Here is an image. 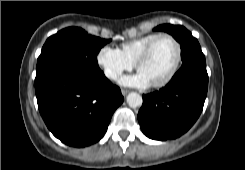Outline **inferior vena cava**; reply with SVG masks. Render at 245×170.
<instances>
[{
  "mask_svg": "<svg viewBox=\"0 0 245 170\" xmlns=\"http://www.w3.org/2000/svg\"><path fill=\"white\" fill-rule=\"evenodd\" d=\"M105 74H106L107 77H110V78H113V79L117 78L118 75H119L118 72L113 71V70H107V71L105 72Z\"/></svg>",
  "mask_w": 245,
  "mask_h": 170,
  "instance_id": "1",
  "label": "inferior vena cava"
}]
</instances>
